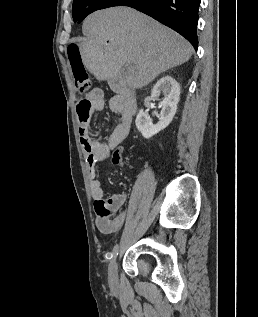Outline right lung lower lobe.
<instances>
[{
  "mask_svg": "<svg viewBox=\"0 0 258 317\" xmlns=\"http://www.w3.org/2000/svg\"><path fill=\"white\" fill-rule=\"evenodd\" d=\"M201 0H91L77 19L80 23L92 12L112 6L135 8L177 31L197 50L198 8Z\"/></svg>",
  "mask_w": 258,
  "mask_h": 317,
  "instance_id": "98d812e1",
  "label": "right lung lower lobe"
}]
</instances>
